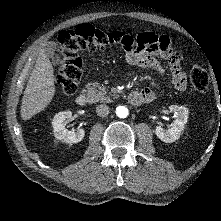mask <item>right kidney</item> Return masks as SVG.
I'll return each instance as SVG.
<instances>
[{
  "label": "right kidney",
  "instance_id": "obj_1",
  "mask_svg": "<svg viewBox=\"0 0 221 221\" xmlns=\"http://www.w3.org/2000/svg\"><path fill=\"white\" fill-rule=\"evenodd\" d=\"M72 116L71 111H63L57 113L52 121L53 132L56 139L64 143H78L85 135L84 129H77L76 131H68L65 129L64 121Z\"/></svg>",
  "mask_w": 221,
  "mask_h": 221
}]
</instances>
